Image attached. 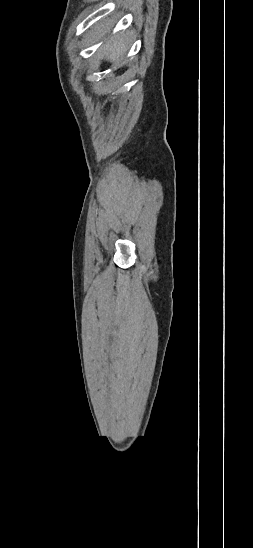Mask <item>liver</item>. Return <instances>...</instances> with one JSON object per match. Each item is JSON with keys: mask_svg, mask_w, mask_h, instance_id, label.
Returning <instances> with one entry per match:
<instances>
[{"mask_svg": "<svg viewBox=\"0 0 253 548\" xmlns=\"http://www.w3.org/2000/svg\"><path fill=\"white\" fill-rule=\"evenodd\" d=\"M104 34H101V38ZM129 37L126 34H115L101 48V56L110 62H119L128 50Z\"/></svg>", "mask_w": 253, "mask_h": 548, "instance_id": "liver-1", "label": "liver"}]
</instances>
